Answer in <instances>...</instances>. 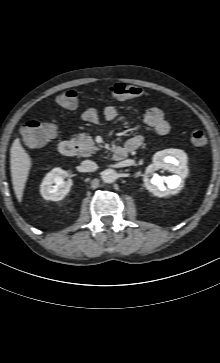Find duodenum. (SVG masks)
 I'll return each mask as SVG.
<instances>
[{
  "label": "duodenum",
  "instance_id": "410a0bca",
  "mask_svg": "<svg viewBox=\"0 0 220 363\" xmlns=\"http://www.w3.org/2000/svg\"><path fill=\"white\" fill-rule=\"evenodd\" d=\"M75 144L70 140H63L58 144V152L62 156H71L75 152ZM128 155V149L124 147H116L113 150V159L121 161Z\"/></svg>",
  "mask_w": 220,
  "mask_h": 363
}]
</instances>
